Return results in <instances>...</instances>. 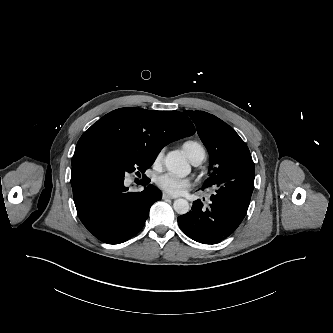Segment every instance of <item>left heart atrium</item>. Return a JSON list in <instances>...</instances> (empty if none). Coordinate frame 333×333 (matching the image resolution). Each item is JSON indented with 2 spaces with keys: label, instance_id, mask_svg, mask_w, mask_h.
Returning a JSON list of instances; mask_svg holds the SVG:
<instances>
[{
  "label": "left heart atrium",
  "instance_id": "39dd6f15",
  "mask_svg": "<svg viewBox=\"0 0 333 333\" xmlns=\"http://www.w3.org/2000/svg\"><path fill=\"white\" fill-rule=\"evenodd\" d=\"M155 183L162 191L171 196L182 195L192 186L189 178H181L169 173L157 176Z\"/></svg>",
  "mask_w": 333,
  "mask_h": 333
}]
</instances>
